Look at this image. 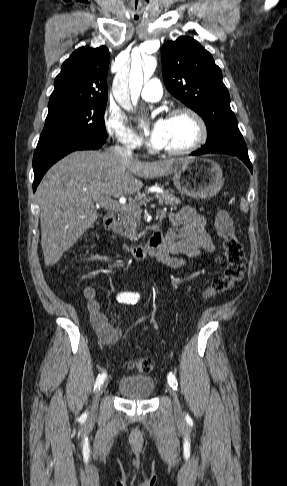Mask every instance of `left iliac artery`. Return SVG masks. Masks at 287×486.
Returning a JSON list of instances; mask_svg holds the SVG:
<instances>
[{"label": "left iliac artery", "mask_w": 287, "mask_h": 486, "mask_svg": "<svg viewBox=\"0 0 287 486\" xmlns=\"http://www.w3.org/2000/svg\"><path fill=\"white\" fill-rule=\"evenodd\" d=\"M137 300H138L137 298H135V299H130V300H128V302H127V303L134 304V303H136V302H137ZM167 379H168V382H169L170 386H171L173 389H177L178 383H177V379H176L175 375H174V374H172V373L170 372V373L168 374V376H167Z\"/></svg>", "instance_id": "1"}]
</instances>
